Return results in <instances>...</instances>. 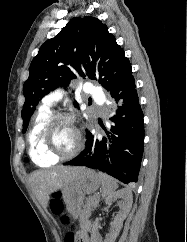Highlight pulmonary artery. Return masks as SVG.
<instances>
[{
  "label": "pulmonary artery",
  "mask_w": 187,
  "mask_h": 242,
  "mask_svg": "<svg viewBox=\"0 0 187 242\" xmlns=\"http://www.w3.org/2000/svg\"><path fill=\"white\" fill-rule=\"evenodd\" d=\"M89 92L92 97L96 98L100 94V89L96 86L91 85L89 88ZM62 97V92L60 90H56L44 98V104L47 106L54 105L60 98Z\"/></svg>",
  "instance_id": "e3ab8cb5"
}]
</instances>
